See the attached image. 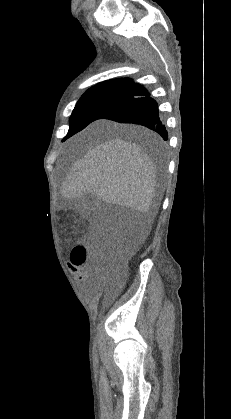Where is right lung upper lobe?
Listing matches in <instances>:
<instances>
[{
	"label": "right lung upper lobe",
	"instance_id": "obj_1",
	"mask_svg": "<svg viewBox=\"0 0 231 419\" xmlns=\"http://www.w3.org/2000/svg\"><path fill=\"white\" fill-rule=\"evenodd\" d=\"M137 85L138 84L134 83L132 79L122 78V79H113V80L104 81L94 87H104V86L136 87Z\"/></svg>",
	"mask_w": 231,
	"mask_h": 419
}]
</instances>
